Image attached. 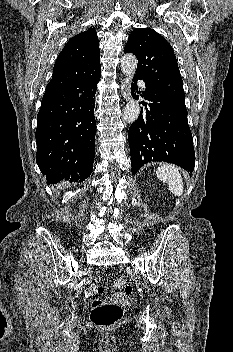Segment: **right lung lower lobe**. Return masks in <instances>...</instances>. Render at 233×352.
I'll return each instance as SVG.
<instances>
[{
  "label": "right lung lower lobe",
  "mask_w": 233,
  "mask_h": 352,
  "mask_svg": "<svg viewBox=\"0 0 233 352\" xmlns=\"http://www.w3.org/2000/svg\"><path fill=\"white\" fill-rule=\"evenodd\" d=\"M101 71L46 90L37 115L36 162L49 184L89 177L95 154V94Z\"/></svg>",
  "instance_id": "right-lung-lower-lobe-1"
}]
</instances>
